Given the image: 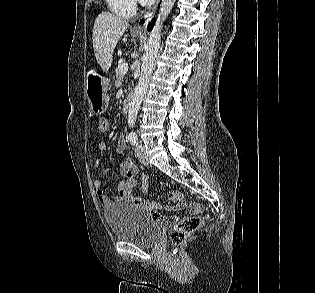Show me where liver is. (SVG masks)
<instances>
[{
    "label": "liver",
    "instance_id": "obj_1",
    "mask_svg": "<svg viewBox=\"0 0 315 293\" xmlns=\"http://www.w3.org/2000/svg\"><path fill=\"white\" fill-rule=\"evenodd\" d=\"M129 23L109 12L100 13L93 26V49L98 62L108 66L114 49L128 28Z\"/></svg>",
    "mask_w": 315,
    "mask_h": 293
}]
</instances>
